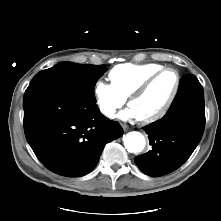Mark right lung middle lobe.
Instances as JSON below:
<instances>
[{
	"label": "right lung middle lobe",
	"instance_id": "obj_1",
	"mask_svg": "<svg viewBox=\"0 0 221 221\" xmlns=\"http://www.w3.org/2000/svg\"><path fill=\"white\" fill-rule=\"evenodd\" d=\"M105 71L104 65L62 62L36 74L25 94L50 92L96 103L94 87Z\"/></svg>",
	"mask_w": 221,
	"mask_h": 221
}]
</instances>
